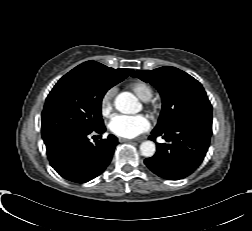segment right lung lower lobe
<instances>
[{"mask_svg":"<svg viewBox=\"0 0 252 231\" xmlns=\"http://www.w3.org/2000/svg\"><path fill=\"white\" fill-rule=\"evenodd\" d=\"M105 132L101 126L87 133H64L45 143L51 166L65 179L85 183L100 175L112 159L118 139L109 135L92 144L88 135Z\"/></svg>","mask_w":252,"mask_h":231,"instance_id":"obj_1","label":"right lung lower lobe"}]
</instances>
